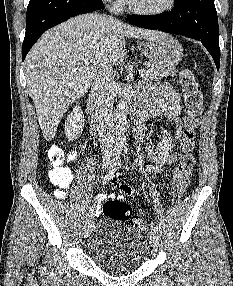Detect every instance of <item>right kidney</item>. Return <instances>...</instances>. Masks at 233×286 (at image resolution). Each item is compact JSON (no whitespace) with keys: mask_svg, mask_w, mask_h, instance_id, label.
Returning a JSON list of instances; mask_svg holds the SVG:
<instances>
[{"mask_svg":"<svg viewBox=\"0 0 233 286\" xmlns=\"http://www.w3.org/2000/svg\"><path fill=\"white\" fill-rule=\"evenodd\" d=\"M84 115L79 105L74 106L73 111L65 121V135L69 141L77 139L83 131Z\"/></svg>","mask_w":233,"mask_h":286,"instance_id":"right-kidney-1","label":"right kidney"}]
</instances>
